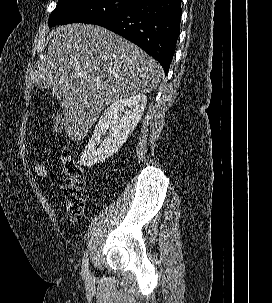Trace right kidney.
Instances as JSON below:
<instances>
[{
    "label": "right kidney",
    "mask_w": 272,
    "mask_h": 303,
    "mask_svg": "<svg viewBox=\"0 0 272 303\" xmlns=\"http://www.w3.org/2000/svg\"><path fill=\"white\" fill-rule=\"evenodd\" d=\"M146 104L147 96L137 94L110 105L96 124L93 135L80 157V164L91 167L115 154L137 126ZM107 130L108 135L102 139Z\"/></svg>",
    "instance_id": "1"
}]
</instances>
